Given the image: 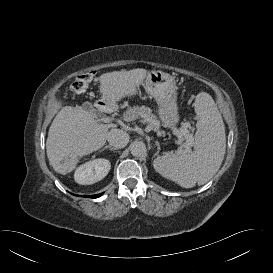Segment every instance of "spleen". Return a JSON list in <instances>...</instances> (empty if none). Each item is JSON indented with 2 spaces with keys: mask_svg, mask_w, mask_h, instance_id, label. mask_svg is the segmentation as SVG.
<instances>
[{
  "mask_svg": "<svg viewBox=\"0 0 273 273\" xmlns=\"http://www.w3.org/2000/svg\"><path fill=\"white\" fill-rule=\"evenodd\" d=\"M196 123L192 153H165L157 157L153 166L163 177L183 188L207 183L219 170L226 150L225 126L212 99L201 92L195 99Z\"/></svg>",
  "mask_w": 273,
  "mask_h": 273,
  "instance_id": "obj_1",
  "label": "spleen"
}]
</instances>
